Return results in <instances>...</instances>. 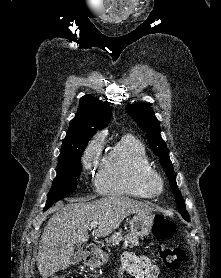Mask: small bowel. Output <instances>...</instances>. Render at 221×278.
<instances>
[{"instance_id": "c3829d8e", "label": "small bowel", "mask_w": 221, "mask_h": 278, "mask_svg": "<svg viewBox=\"0 0 221 278\" xmlns=\"http://www.w3.org/2000/svg\"><path fill=\"white\" fill-rule=\"evenodd\" d=\"M155 278V266L149 257L125 252L122 258V267L119 270L120 278Z\"/></svg>"}]
</instances>
